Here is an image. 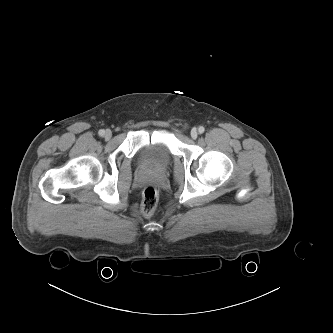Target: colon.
<instances>
[{
  "mask_svg": "<svg viewBox=\"0 0 333 333\" xmlns=\"http://www.w3.org/2000/svg\"><path fill=\"white\" fill-rule=\"evenodd\" d=\"M158 206V193L152 186L143 190L141 212L145 217H151L155 214Z\"/></svg>",
  "mask_w": 333,
  "mask_h": 333,
  "instance_id": "5ec220e1",
  "label": "colon"
}]
</instances>
